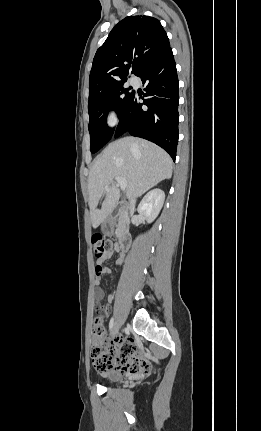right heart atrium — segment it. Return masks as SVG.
Wrapping results in <instances>:
<instances>
[{
    "mask_svg": "<svg viewBox=\"0 0 261 431\" xmlns=\"http://www.w3.org/2000/svg\"><path fill=\"white\" fill-rule=\"evenodd\" d=\"M118 117L114 109H109L107 112V122L110 126H114L117 123Z\"/></svg>",
    "mask_w": 261,
    "mask_h": 431,
    "instance_id": "obj_1",
    "label": "right heart atrium"
}]
</instances>
